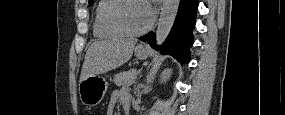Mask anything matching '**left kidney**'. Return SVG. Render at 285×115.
<instances>
[{
	"label": "left kidney",
	"instance_id": "5707ae66",
	"mask_svg": "<svg viewBox=\"0 0 285 115\" xmlns=\"http://www.w3.org/2000/svg\"><path fill=\"white\" fill-rule=\"evenodd\" d=\"M171 74H172L171 69H165L162 72V82H166L170 78Z\"/></svg>",
	"mask_w": 285,
	"mask_h": 115
}]
</instances>
